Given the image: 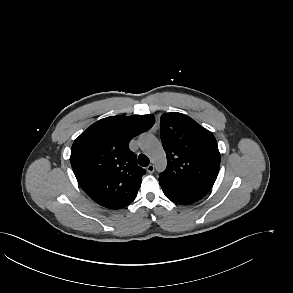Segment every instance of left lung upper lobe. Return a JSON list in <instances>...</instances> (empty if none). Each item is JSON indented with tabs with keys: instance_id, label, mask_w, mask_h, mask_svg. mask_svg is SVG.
Here are the masks:
<instances>
[{
	"instance_id": "5c2ea615",
	"label": "left lung upper lobe",
	"mask_w": 293,
	"mask_h": 293,
	"mask_svg": "<svg viewBox=\"0 0 293 293\" xmlns=\"http://www.w3.org/2000/svg\"><path fill=\"white\" fill-rule=\"evenodd\" d=\"M160 136L167 168L160 174L162 188L198 198L212 188L220 167V153L213 134L181 113H164Z\"/></svg>"
}]
</instances>
